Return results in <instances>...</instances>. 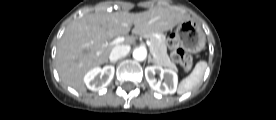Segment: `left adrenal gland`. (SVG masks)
Returning a JSON list of instances; mask_svg holds the SVG:
<instances>
[{"mask_svg":"<svg viewBox=\"0 0 276 120\" xmlns=\"http://www.w3.org/2000/svg\"><path fill=\"white\" fill-rule=\"evenodd\" d=\"M148 62L149 63H155V61L152 59L151 55L149 54V57H148Z\"/></svg>","mask_w":276,"mask_h":120,"instance_id":"a2214340","label":"left adrenal gland"}]
</instances>
